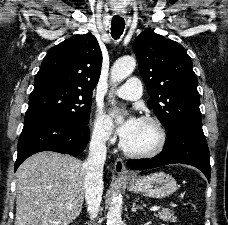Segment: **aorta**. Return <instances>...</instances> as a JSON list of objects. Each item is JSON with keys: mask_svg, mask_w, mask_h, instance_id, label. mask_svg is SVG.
Masks as SVG:
<instances>
[{"mask_svg": "<svg viewBox=\"0 0 228 225\" xmlns=\"http://www.w3.org/2000/svg\"><path fill=\"white\" fill-rule=\"evenodd\" d=\"M136 66V60L134 56H122L114 62L110 72V82L113 86H116V82H121L124 78H127L131 72H133ZM114 90V88H112ZM112 104H115V100H111ZM116 123L120 125L122 123V117H117ZM122 205L121 195H114L112 203L107 213V225H121Z\"/></svg>", "mask_w": 228, "mask_h": 225, "instance_id": "aorta-1", "label": "aorta"}]
</instances>
